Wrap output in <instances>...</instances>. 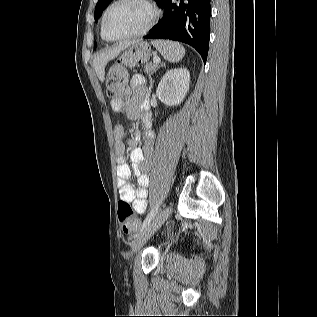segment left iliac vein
<instances>
[{
  "mask_svg": "<svg viewBox=\"0 0 317 317\" xmlns=\"http://www.w3.org/2000/svg\"><path fill=\"white\" fill-rule=\"evenodd\" d=\"M171 212V207L162 210L149 225L139 234L132 244V254H135L146 241L164 224Z\"/></svg>",
  "mask_w": 317,
  "mask_h": 317,
  "instance_id": "left-iliac-vein-1",
  "label": "left iliac vein"
}]
</instances>
